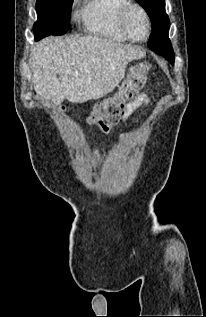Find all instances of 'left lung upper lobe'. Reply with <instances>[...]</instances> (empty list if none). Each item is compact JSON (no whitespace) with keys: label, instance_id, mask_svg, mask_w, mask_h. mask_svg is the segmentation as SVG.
<instances>
[{"label":"left lung upper lobe","instance_id":"left-lung-upper-lobe-1","mask_svg":"<svg viewBox=\"0 0 206 317\" xmlns=\"http://www.w3.org/2000/svg\"><path fill=\"white\" fill-rule=\"evenodd\" d=\"M147 12L152 21V33L148 43L170 42L168 32L170 28L169 17L165 12L164 0H136ZM171 43V42H170ZM172 65V61L168 60Z\"/></svg>","mask_w":206,"mask_h":317}]
</instances>
